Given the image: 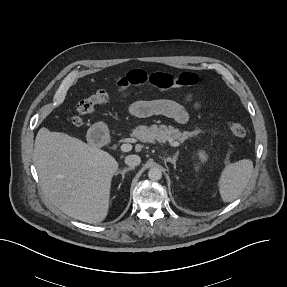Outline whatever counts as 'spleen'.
Masks as SVG:
<instances>
[{
  "label": "spleen",
  "mask_w": 287,
  "mask_h": 287,
  "mask_svg": "<svg viewBox=\"0 0 287 287\" xmlns=\"http://www.w3.org/2000/svg\"><path fill=\"white\" fill-rule=\"evenodd\" d=\"M253 174V162L242 159L225 166L222 170L218 186L224 202H232L240 196Z\"/></svg>",
  "instance_id": "1"
}]
</instances>
